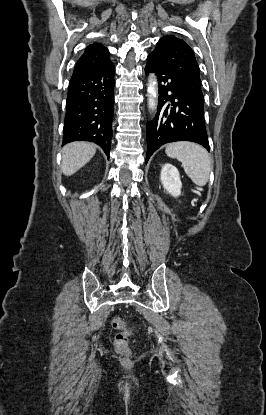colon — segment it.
Wrapping results in <instances>:
<instances>
[{
	"instance_id": "colon-1",
	"label": "colon",
	"mask_w": 266,
	"mask_h": 415,
	"mask_svg": "<svg viewBox=\"0 0 266 415\" xmlns=\"http://www.w3.org/2000/svg\"><path fill=\"white\" fill-rule=\"evenodd\" d=\"M112 327L118 330V333L114 339L115 349L122 354H128L129 349V338L132 335V327L122 318L115 317L112 320Z\"/></svg>"
}]
</instances>
